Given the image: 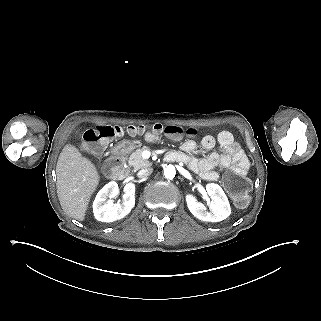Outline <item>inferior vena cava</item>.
<instances>
[{
  "instance_id": "inferior-vena-cava-1",
  "label": "inferior vena cava",
  "mask_w": 321,
  "mask_h": 321,
  "mask_svg": "<svg viewBox=\"0 0 321 321\" xmlns=\"http://www.w3.org/2000/svg\"><path fill=\"white\" fill-rule=\"evenodd\" d=\"M152 172H153V168L148 167V168H145V169L140 170V171L138 172L137 176H138L139 178H145V177L151 175Z\"/></svg>"
}]
</instances>
